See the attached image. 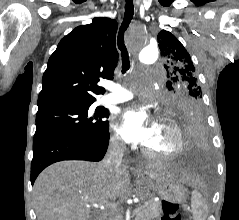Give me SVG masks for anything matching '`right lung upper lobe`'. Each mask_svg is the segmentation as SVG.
<instances>
[{
	"mask_svg": "<svg viewBox=\"0 0 239 220\" xmlns=\"http://www.w3.org/2000/svg\"><path fill=\"white\" fill-rule=\"evenodd\" d=\"M117 22L94 18L91 24L75 28L58 44L42 79L38 110L57 106H80L96 101L100 78H113L118 61Z\"/></svg>",
	"mask_w": 239,
	"mask_h": 220,
	"instance_id": "right-lung-upper-lobe-1",
	"label": "right lung upper lobe"
}]
</instances>
